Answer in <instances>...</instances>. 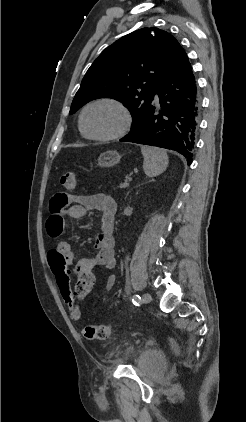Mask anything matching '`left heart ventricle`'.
Instances as JSON below:
<instances>
[{
    "instance_id": "left-heart-ventricle-1",
    "label": "left heart ventricle",
    "mask_w": 246,
    "mask_h": 422,
    "mask_svg": "<svg viewBox=\"0 0 246 422\" xmlns=\"http://www.w3.org/2000/svg\"><path fill=\"white\" fill-rule=\"evenodd\" d=\"M122 122L121 112L111 104L95 105L85 114V127L94 135L112 134L121 127Z\"/></svg>"
}]
</instances>
